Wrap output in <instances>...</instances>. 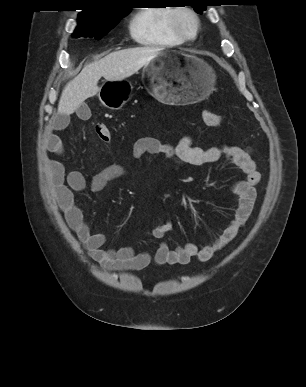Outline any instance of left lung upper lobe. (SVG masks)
Here are the masks:
<instances>
[{"instance_id":"5c2ea615","label":"left lung upper lobe","mask_w":306,"mask_h":387,"mask_svg":"<svg viewBox=\"0 0 306 387\" xmlns=\"http://www.w3.org/2000/svg\"><path fill=\"white\" fill-rule=\"evenodd\" d=\"M194 2L193 8L194 10L201 14L204 11L207 5H210V0H192Z\"/></svg>"}]
</instances>
